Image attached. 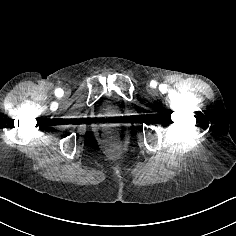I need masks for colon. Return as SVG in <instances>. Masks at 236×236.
<instances>
[{
    "mask_svg": "<svg viewBox=\"0 0 236 236\" xmlns=\"http://www.w3.org/2000/svg\"><path fill=\"white\" fill-rule=\"evenodd\" d=\"M108 151L113 155H118L121 151V146L117 142H111L108 144Z\"/></svg>",
    "mask_w": 236,
    "mask_h": 236,
    "instance_id": "5ec220e1",
    "label": "colon"
}]
</instances>
